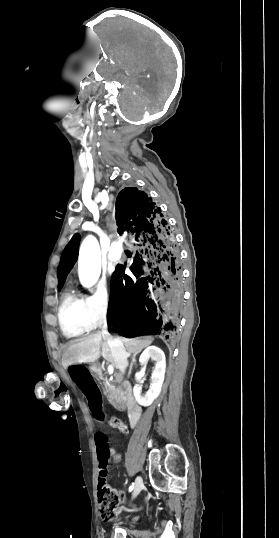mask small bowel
<instances>
[{"instance_id":"small-bowel-1","label":"small bowel","mask_w":279,"mask_h":538,"mask_svg":"<svg viewBox=\"0 0 279 538\" xmlns=\"http://www.w3.org/2000/svg\"><path fill=\"white\" fill-rule=\"evenodd\" d=\"M111 457H112L114 462H119L120 459H121L120 453L117 452L116 450H111ZM123 501H126V499L124 498ZM132 507H133V509H135L136 505H133ZM135 520H137V518Z\"/></svg>"}]
</instances>
